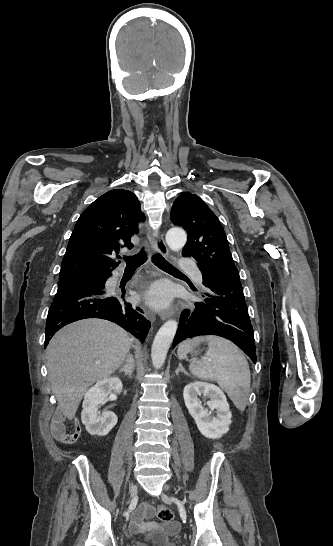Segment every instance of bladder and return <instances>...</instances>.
Returning a JSON list of instances; mask_svg holds the SVG:
<instances>
[{
  "label": "bladder",
  "mask_w": 333,
  "mask_h": 546,
  "mask_svg": "<svg viewBox=\"0 0 333 546\" xmlns=\"http://www.w3.org/2000/svg\"><path fill=\"white\" fill-rule=\"evenodd\" d=\"M153 536H154L155 538L161 540V541H165V540H166V537H165L164 535L159 534V533H155Z\"/></svg>",
  "instance_id": "bladder-1"
}]
</instances>
